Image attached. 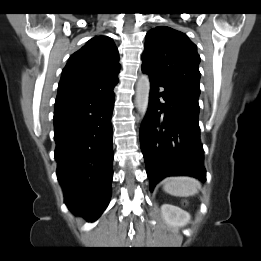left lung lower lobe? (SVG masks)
<instances>
[{"instance_id": "left-lung-lower-lobe-1", "label": "left lung lower lobe", "mask_w": 261, "mask_h": 261, "mask_svg": "<svg viewBox=\"0 0 261 261\" xmlns=\"http://www.w3.org/2000/svg\"><path fill=\"white\" fill-rule=\"evenodd\" d=\"M143 72L149 74L151 88L140 145L150 191L166 176L190 175L206 180L198 123L199 94Z\"/></svg>"}]
</instances>
